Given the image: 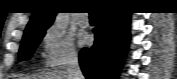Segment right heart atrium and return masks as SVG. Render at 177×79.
<instances>
[{"mask_svg": "<svg viewBox=\"0 0 177 79\" xmlns=\"http://www.w3.org/2000/svg\"><path fill=\"white\" fill-rule=\"evenodd\" d=\"M43 59L46 67L59 68L77 61L78 54L72 39L55 27H49L43 34Z\"/></svg>", "mask_w": 177, "mask_h": 79, "instance_id": "right-heart-atrium-1", "label": "right heart atrium"}]
</instances>
